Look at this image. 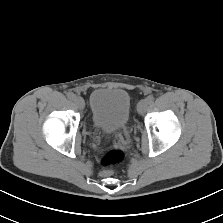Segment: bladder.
I'll return each instance as SVG.
<instances>
[{
  "instance_id": "obj_1",
  "label": "bladder",
  "mask_w": 223,
  "mask_h": 223,
  "mask_svg": "<svg viewBox=\"0 0 223 223\" xmlns=\"http://www.w3.org/2000/svg\"><path fill=\"white\" fill-rule=\"evenodd\" d=\"M90 110L94 125L112 133L124 128L129 120L132 101L122 88H98L90 95Z\"/></svg>"
}]
</instances>
